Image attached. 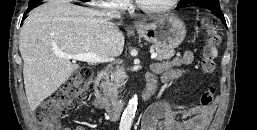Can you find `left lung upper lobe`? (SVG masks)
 <instances>
[{
    "instance_id": "5c2ea615",
    "label": "left lung upper lobe",
    "mask_w": 257,
    "mask_h": 130,
    "mask_svg": "<svg viewBox=\"0 0 257 130\" xmlns=\"http://www.w3.org/2000/svg\"><path fill=\"white\" fill-rule=\"evenodd\" d=\"M206 1L219 3V0H181V2L178 5H186L191 3L201 4V2H206Z\"/></svg>"
}]
</instances>
